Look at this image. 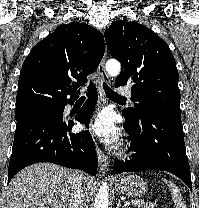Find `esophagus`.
<instances>
[{"label": "esophagus", "instance_id": "34e87169", "mask_svg": "<svg viewBox=\"0 0 199 208\" xmlns=\"http://www.w3.org/2000/svg\"><path fill=\"white\" fill-rule=\"evenodd\" d=\"M105 64H106V53L104 54V57L98 66L99 78L96 81L98 95H99V108H101L106 103L107 100L103 89V82L108 83L110 81L109 76L105 70ZM96 152H97L100 171L102 173H106L108 171V164H109L108 158L102 152V150L99 148L97 144H96Z\"/></svg>", "mask_w": 199, "mask_h": 208}]
</instances>
